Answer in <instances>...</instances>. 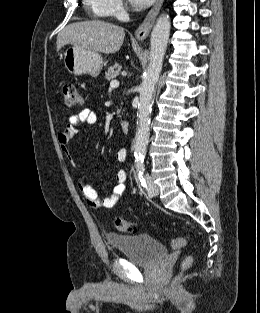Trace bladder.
<instances>
[{
	"instance_id": "bladder-1",
	"label": "bladder",
	"mask_w": 260,
	"mask_h": 313,
	"mask_svg": "<svg viewBox=\"0 0 260 313\" xmlns=\"http://www.w3.org/2000/svg\"><path fill=\"white\" fill-rule=\"evenodd\" d=\"M106 241L115 250L138 266H152L168 255L166 246L149 235L107 234Z\"/></svg>"
}]
</instances>
